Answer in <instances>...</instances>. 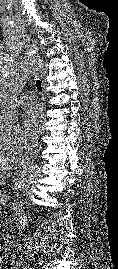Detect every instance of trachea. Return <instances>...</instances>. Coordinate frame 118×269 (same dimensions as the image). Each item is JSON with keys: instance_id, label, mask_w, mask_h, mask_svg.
I'll return each mask as SVG.
<instances>
[{"instance_id": "obj_1", "label": "trachea", "mask_w": 118, "mask_h": 269, "mask_svg": "<svg viewBox=\"0 0 118 269\" xmlns=\"http://www.w3.org/2000/svg\"><path fill=\"white\" fill-rule=\"evenodd\" d=\"M36 87L39 91H42V82L40 80L36 81Z\"/></svg>"}]
</instances>
